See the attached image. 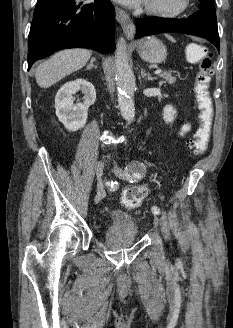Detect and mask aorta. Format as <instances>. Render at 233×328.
I'll return each mask as SVG.
<instances>
[{
	"label": "aorta",
	"mask_w": 233,
	"mask_h": 328,
	"mask_svg": "<svg viewBox=\"0 0 233 328\" xmlns=\"http://www.w3.org/2000/svg\"><path fill=\"white\" fill-rule=\"evenodd\" d=\"M116 82L118 89V105L122 117L132 121L135 117L134 92L135 77L126 57V43L119 38L115 51Z\"/></svg>",
	"instance_id": "1"
}]
</instances>
